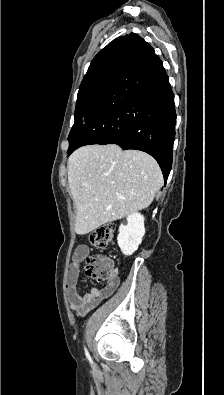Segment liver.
Returning a JSON list of instances; mask_svg holds the SVG:
<instances>
[{
    "label": "liver",
    "instance_id": "obj_1",
    "mask_svg": "<svg viewBox=\"0 0 224 395\" xmlns=\"http://www.w3.org/2000/svg\"><path fill=\"white\" fill-rule=\"evenodd\" d=\"M68 183L76 208L75 232L85 235L147 208L163 185L156 160L118 145H89L68 159Z\"/></svg>",
    "mask_w": 224,
    "mask_h": 395
}]
</instances>
